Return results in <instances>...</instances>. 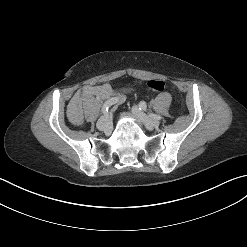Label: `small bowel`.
<instances>
[{
	"instance_id": "c3829d8e",
	"label": "small bowel",
	"mask_w": 247,
	"mask_h": 247,
	"mask_svg": "<svg viewBox=\"0 0 247 247\" xmlns=\"http://www.w3.org/2000/svg\"><path fill=\"white\" fill-rule=\"evenodd\" d=\"M113 92V88L109 84L87 85L80 88L71 98L68 106V116L70 121L80 126L83 124L82 104L91 96L105 99Z\"/></svg>"
}]
</instances>
